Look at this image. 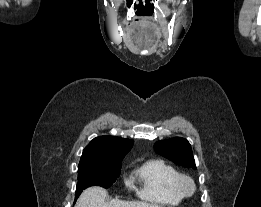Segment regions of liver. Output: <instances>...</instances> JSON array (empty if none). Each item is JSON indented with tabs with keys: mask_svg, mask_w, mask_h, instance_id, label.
<instances>
[{
	"mask_svg": "<svg viewBox=\"0 0 261 207\" xmlns=\"http://www.w3.org/2000/svg\"><path fill=\"white\" fill-rule=\"evenodd\" d=\"M107 191L101 187L93 186L87 188L80 195L75 207H161L143 201H121L113 199L106 202Z\"/></svg>",
	"mask_w": 261,
	"mask_h": 207,
	"instance_id": "obj_1",
	"label": "liver"
}]
</instances>
